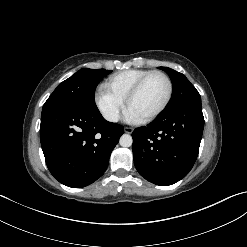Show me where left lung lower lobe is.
<instances>
[{
  "mask_svg": "<svg viewBox=\"0 0 247 247\" xmlns=\"http://www.w3.org/2000/svg\"><path fill=\"white\" fill-rule=\"evenodd\" d=\"M204 127L201 102L166 109L147 127L134 130L133 158L139 174L151 183L172 185L192 169Z\"/></svg>",
  "mask_w": 247,
  "mask_h": 247,
  "instance_id": "obj_1",
  "label": "left lung lower lobe"
}]
</instances>
